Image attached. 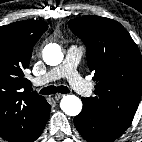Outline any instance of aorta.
Here are the masks:
<instances>
[{
  "mask_svg": "<svg viewBox=\"0 0 142 142\" xmlns=\"http://www.w3.org/2000/svg\"><path fill=\"white\" fill-rule=\"evenodd\" d=\"M42 56L50 66L59 65L63 60V52L57 44L46 45ZM60 107L66 115L77 116L82 110V101L75 95H66L62 98Z\"/></svg>",
  "mask_w": 142,
  "mask_h": 142,
  "instance_id": "obj_1",
  "label": "aorta"
}]
</instances>
